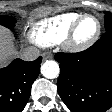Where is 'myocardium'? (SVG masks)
Listing matches in <instances>:
<instances>
[{
	"mask_svg": "<svg viewBox=\"0 0 112 112\" xmlns=\"http://www.w3.org/2000/svg\"><path fill=\"white\" fill-rule=\"evenodd\" d=\"M86 18H93L97 23V29L94 35L86 41L80 42L76 39L77 30L82 23V21ZM101 22L100 20L92 15V14H82L71 26L67 35L63 40L64 48L71 53H79L89 49L92 45H94L100 37L101 34Z\"/></svg>",
	"mask_w": 112,
	"mask_h": 112,
	"instance_id": "myocardium-1",
	"label": "myocardium"
}]
</instances>
